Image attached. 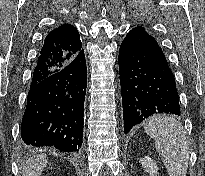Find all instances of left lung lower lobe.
Wrapping results in <instances>:
<instances>
[{
	"label": "left lung lower lobe",
	"instance_id": "1",
	"mask_svg": "<svg viewBox=\"0 0 205 176\" xmlns=\"http://www.w3.org/2000/svg\"><path fill=\"white\" fill-rule=\"evenodd\" d=\"M118 62L125 134L151 115H180L174 75L156 39L143 27L127 34Z\"/></svg>",
	"mask_w": 205,
	"mask_h": 176
}]
</instances>
